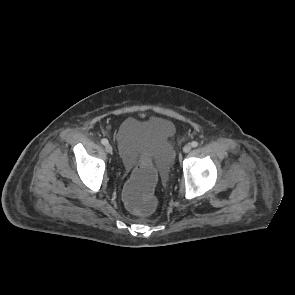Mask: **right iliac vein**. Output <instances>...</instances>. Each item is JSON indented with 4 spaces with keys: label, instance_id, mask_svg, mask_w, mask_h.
<instances>
[{
    "label": "right iliac vein",
    "instance_id": "right-iliac-vein-1",
    "mask_svg": "<svg viewBox=\"0 0 295 295\" xmlns=\"http://www.w3.org/2000/svg\"><path fill=\"white\" fill-rule=\"evenodd\" d=\"M105 150H106L107 153H112L113 148H112V146L110 144H106L105 145Z\"/></svg>",
    "mask_w": 295,
    "mask_h": 295
}]
</instances>
